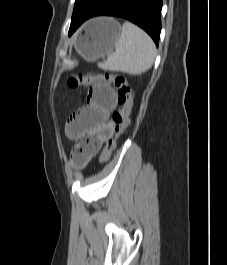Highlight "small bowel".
Returning <instances> with one entry per match:
<instances>
[{
  "instance_id": "obj_1",
  "label": "small bowel",
  "mask_w": 227,
  "mask_h": 265,
  "mask_svg": "<svg viewBox=\"0 0 227 265\" xmlns=\"http://www.w3.org/2000/svg\"><path fill=\"white\" fill-rule=\"evenodd\" d=\"M115 106L114 90L106 84H97L88 91L87 104L69 117L66 134L71 140L77 141L75 147L85 155L86 162L111 137L113 125L110 114Z\"/></svg>"
}]
</instances>
